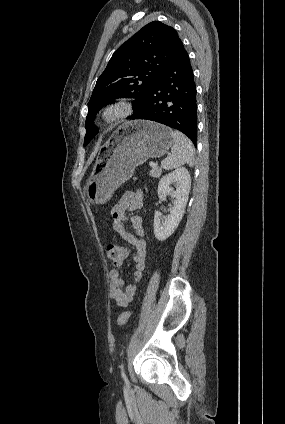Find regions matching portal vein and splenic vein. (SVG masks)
Wrapping results in <instances>:
<instances>
[{
    "label": "portal vein and splenic vein",
    "instance_id": "obj_1",
    "mask_svg": "<svg viewBox=\"0 0 285 424\" xmlns=\"http://www.w3.org/2000/svg\"><path fill=\"white\" fill-rule=\"evenodd\" d=\"M150 166H151V167L155 166V163L151 162V163H150Z\"/></svg>",
    "mask_w": 285,
    "mask_h": 424
}]
</instances>
